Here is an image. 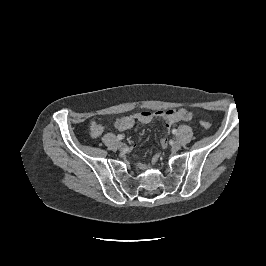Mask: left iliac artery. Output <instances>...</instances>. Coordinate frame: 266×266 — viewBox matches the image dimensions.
Here are the masks:
<instances>
[{
    "mask_svg": "<svg viewBox=\"0 0 266 266\" xmlns=\"http://www.w3.org/2000/svg\"><path fill=\"white\" fill-rule=\"evenodd\" d=\"M172 133L175 135V134H177V130L176 129H173L172 130Z\"/></svg>",
    "mask_w": 266,
    "mask_h": 266,
    "instance_id": "1",
    "label": "left iliac artery"
}]
</instances>
